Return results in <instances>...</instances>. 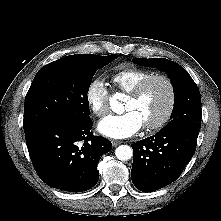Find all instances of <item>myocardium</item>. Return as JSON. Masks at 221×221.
<instances>
[{
	"mask_svg": "<svg viewBox=\"0 0 221 221\" xmlns=\"http://www.w3.org/2000/svg\"><path fill=\"white\" fill-rule=\"evenodd\" d=\"M154 80H161L166 83L169 92V102L165 113L159 120H157L152 124L143 126V128L148 132L157 131L162 127H164L169 122V120L171 119L174 113L177 101V92L173 80L169 76L159 73L151 74L150 76L140 81L135 86V88L128 93L129 98L134 100L139 99L142 96L143 92L145 91L146 87Z\"/></svg>",
	"mask_w": 221,
	"mask_h": 221,
	"instance_id": "obj_1",
	"label": "myocardium"
}]
</instances>
